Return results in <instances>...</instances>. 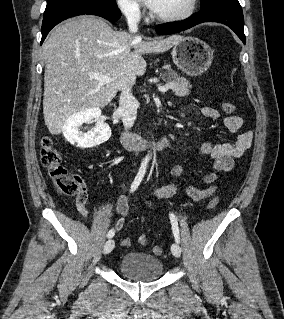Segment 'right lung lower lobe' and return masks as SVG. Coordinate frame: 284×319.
<instances>
[{
  "mask_svg": "<svg viewBox=\"0 0 284 319\" xmlns=\"http://www.w3.org/2000/svg\"><path fill=\"white\" fill-rule=\"evenodd\" d=\"M97 15L111 22L117 21L121 17V12L115 6H70L56 10L45 15L42 23V39L41 44L46 38L49 31L61 21L78 15Z\"/></svg>",
  "mask_w": 284,
  "mask_h": 319,
  "instance_id": "obj_1",
  "label": "right lung lower lobe"
}]
</instances>
